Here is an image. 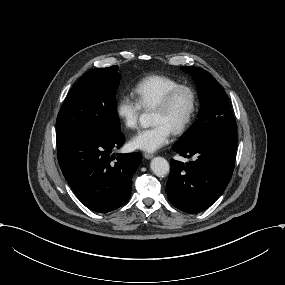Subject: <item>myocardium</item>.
Returning <instances> with one entry per match:
<instances>
[{"label": "myocardium", "mask_w": 285, "mask_h": 285, "mask_svg": "<svg viewBox=\"0 0 285 285\" xmlns=\"http://www.w3.org/2000/svg\"><path fill=\"white\" fill-rule=\"evenodd\" d=\"M181 90H186L190 94V106L185 116L177 121L171 128L174 132L185 129L194 117L198 107V93L196 89L190 84H178L171 88L153 107L161 110L170 108L176 94Z\"/></svg>", "instance_id": "1"}]
</instances>
